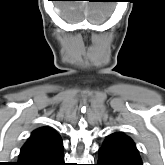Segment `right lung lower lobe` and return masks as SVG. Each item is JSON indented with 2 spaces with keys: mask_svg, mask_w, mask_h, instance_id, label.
Masks as SVG:
<instances>
[{
  "mask_svg": "<svg viewBox=\"0 0 165 165\" xmlns=\"http://www.w3.org/2000/svg\"><path fill=\"white\" fill-rule=\"evenodd\" d=\"M34 149L35 151L22 158L18 165H66L59 134L38 143Z\"/></svg>",
  "mask_w": 165,
  "mask_h": 165,
  "instance_id": "98d812e1",
  "label": "right lung lower lobe"
}]
</instances>
